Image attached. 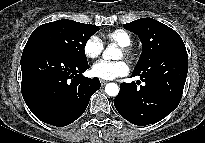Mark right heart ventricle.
Listing matches in <instances>:
<instances>
[{
	"label": "right heart ventricle",
	"mask_w": 205,
	"mask_h": 143,
	"mask_svg": "<svg viewBox=\"0 0 205 143\" xmlns=\"http://www.w3.org/2000/svg\"><path fill=\"white\" fill-rule=\"evenodd\" d=\"M103 40L105 43L118 46H131L133 42L131 34L124 29H115L104 33Z\"/></svg>",
	"instance_id": "obj_1"
}]
</instances>
